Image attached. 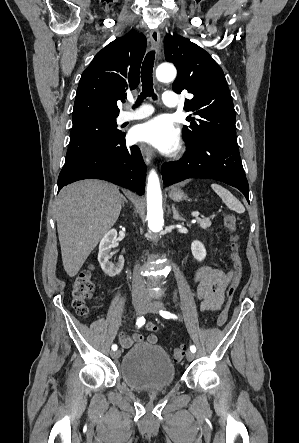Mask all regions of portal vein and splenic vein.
<instances>
[{
  "instance_id": "obj_1",
  "label": "portal vein and splenic vein",
  "mask_w": 299,
  "mask_h": 443,
  "mask_svg": "<svg viewBox=\"0 0 299 443\" xmlns=\"http://www.w3.org/2000/svg\"><path fill=\"white\" fill-rule=\"evenodd\" d=\"M192 216L195 217V218H198V216H199V212H193V213H192Z\"/></svg>"
}]
</instances>
